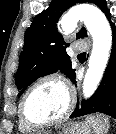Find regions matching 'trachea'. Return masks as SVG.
<instances>
[{
    "label": "trachea",
    "instance_id": "3493384b",
    "mask_svg": "<svg viewBox=\"0 0 116 134\" xmlns=\"http://www.w3.org/2000/svg\"><path fill=\"white\" fill-rule=\"evenodd\" d=\"M78 56H79V57H84V56H86V53H81V54H79Z\"/></svg>",
    "mask_w": 116,
    "mask_h": 134
}]
</instances>
